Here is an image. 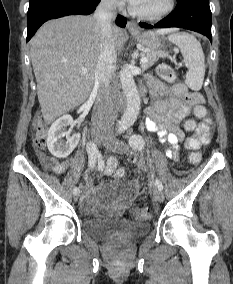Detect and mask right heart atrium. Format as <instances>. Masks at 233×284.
<instances>
[{
  "mask_svg": "<svg viewBox=\"0 0 233 284\" xmlns=\"http://www.w3.org/2000/svg\"><path fill=\"white\" fill-rule=\"evenodd\" d=\"M102 2L110 8H117L121 5V0H102Z\"/></svg>",
  "mask_w": 233,
  "mask_h": 284,
  "instance_id": "obj_1",
  "label": "right heart atrium"
}]
</instances>
